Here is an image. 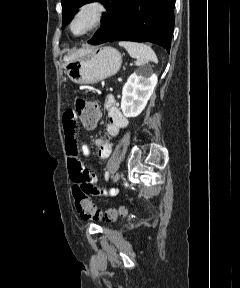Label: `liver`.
I'll list each match as a JSON object with an SVG mask.
<instances>
[{
	"mask_svg": "<svg viewBox=\"0 0 240 288\" xmlns=\"http://www.w3.org/2000/svg\"><path fill=\"white\" fill-rule=\"evenodd\" d=\"M85 51H86L85 49H80V50L76 51L75 53H73L70 57L65 56L64 60L67 61V60H69L72 57H75V56H78L80 54H83Z\"/></svg>",
	"mask_w": 240,
	"mask_h": 288,
	"instance_id": "liver-1",
	"label": "liver"
}]
</instances>
